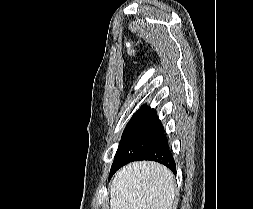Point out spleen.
<instances>
[{"label":"spleen","instance_id":"obj_1","mask_svg":"<svg viewBox=\"0 0 253 209\" xmlns=\"http://www.w3.org/2000/svg\"><path fill=\"white\" fill-rule=\"evenodd\" d=\"M110 195L111 209H172L174 176L157 163H132L116 173Z\"/></svg>","mask_w":253,"mask_h":209}]
</instances>
